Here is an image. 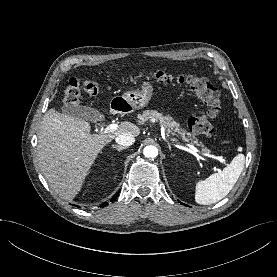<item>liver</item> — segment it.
I'll use <instances>...</instances> for the list:
<instances>
[{"label": "liver", "mask_w": 277, "mask_h": 277, "mask_svg": "<svg viewBox=\"0 0 277 277\" xmlns=\"http://www.w3.org/2000/svg\"><path fill=\"white\" fill-rule=\"evenodd\" d=\"M90 131L88 122L54 108L45 113L39 127L38 160L42 174L65 200H72L79 193L91 166L108 143L124 133L140 134V129L131 122H122L113 132L90 134Z\"/></svg>", "instance_id": "obj_1"}]
</instances>
